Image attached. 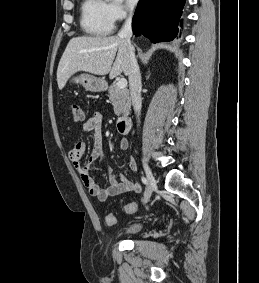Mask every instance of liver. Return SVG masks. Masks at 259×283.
I'll return each instance as SVG.
<instances>
[{
    "mask_svg": "<svg viewBox=\"0 0 259 283\" xmlns=\"http://www.w3.org/2000/svg\"><path fill=\"white\" fill-rule=\"evenodd\" d=\"M78 71L94 75L109 74L110 78H114L122 72L128 76L129 50L124 39L119 36L72 38L58 65L57 83L59 89L62 90L67 80Z\"/></svg>",
    "mask_w": 259,
    "mask_h": 283,
    "instance_id": "obj_1",
    "label": "liver"
}]
</instances>
